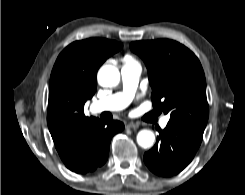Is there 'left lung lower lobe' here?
Here are the masks:
<instances>
[{"label": "left lung lower lobe", "instance_id": "1", "mask_svg": "<svg viewBox=\"0 0 245 195\" xmlns=\"http://www.w3.org/2000/svg\"><path fill=\"white\" fill-rule=\"evenodd\" d=\"M204 129L188 124L169 121L154 147L145 153L147 167L159 176H172L181 172L195 156Z\"/></svg>", "mask_w": 245, "mask_h": 195}]
</instances>
